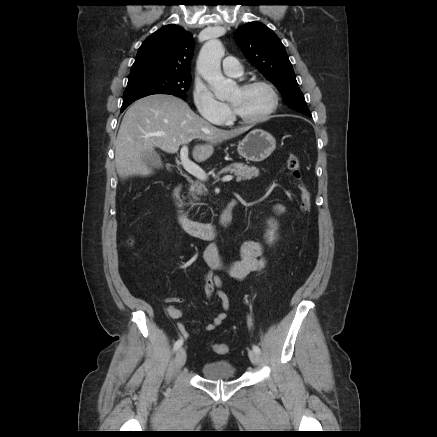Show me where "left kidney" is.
Here are the masks:
<instances>
[{
	"mask_svg": "<svg viewBox=\"0 0 437 437\" xmlns=\"http://www.w3.org/2000/svg\"><path fill=\"white\" fill-rule=\"evenodd\" d=\"M268 235H269L270 241H272L274 239V236H273L274 235V230L272 229L271 231H269Z\"/></svg>",
	"mask_w": 437,
	"mask_h": 437,
	"instance_id": "left-kidney-1",
	"label": "left kidney"
}]
</instances>
